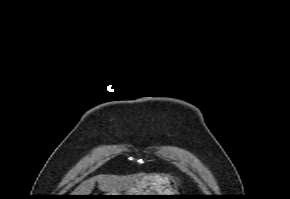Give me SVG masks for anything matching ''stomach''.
I'll list each match as a JSON object with an SVG mask.
<instances>
[{
  "label": "stomach",
  "instance_id": "1",
  "mask_svg": "<svg viewBox=\"0 0 290 199\" xmlns=\"http://www.w3.org/2000/svg\"><path fill=\"white\" fill-rule=\"evenodd\" d=\"M107 195H176L169 187L167 179L143 178L130 186L123 193H113ZM115 199H154V198H172L171 196H113Z\"/></svg>",
  "mask_w": 290,
  "mask_h": 199
}]
</instances>
